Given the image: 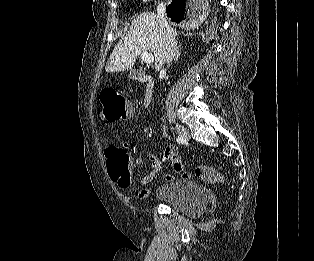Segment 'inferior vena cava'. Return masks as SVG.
Wrapping results in <instances>:
<instances>
[{
  "label": "inferior vena cava",
  "mask_w": 314,
  "mask_h": 261,
  "mask_svg": "<svg viewBox=\"0 0 314 261\" xmlns=\"http://www.w3.org/2000/svg\"><path fill=\"white\" fill-rule=\"evenodd\" d=\"M165 3H160L157 7L158 16L161 18L163 29H164V55L163 62L168 64L173 60L176 50H177V41L173 29L169 27L168 22L165 18Z\"/></svg>",
  "instance_id": "602c4592"
}]
</instances>
